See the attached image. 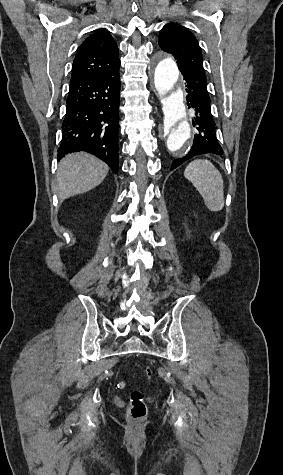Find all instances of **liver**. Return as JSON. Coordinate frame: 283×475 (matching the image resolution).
<instances>
[{
  "label": "liver",
  "instance_id": "obj_1",
  "mask_svg": "<svg viewBox=\"0 0 283 475\" xmlns=\"http://www.w3.org/2000/svg\"><path fill=\"white\" fill-rule=\"evenodd\" d=\"M108 170L105 162L86 152L65 156L57 170L58 198L66 200L70 196L89 192L103 182Z\"/></svg>",
  "mask_w": 283,
  "mask_h": 475
}]
</instances>
